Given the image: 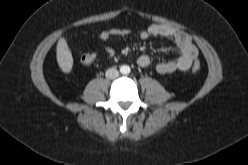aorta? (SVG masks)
<instances>
[{
  "instance_id": "obj_1",
  "label": "aorta",
  "mask_w": 248,
  "mask_h": 165,
  "mask_svg": "<svg viewBox=\"0 0 248 165\" xmlns=\"http://www.w3.org/2000/svg\"><path fill=\"white\" fill-rule=\"evenodd\" d=\"M120 72L122 74H125V75L129 74L130 73V67L127 66V65H123V66L120 67Z\"/></svg>"
}]
</instances>
